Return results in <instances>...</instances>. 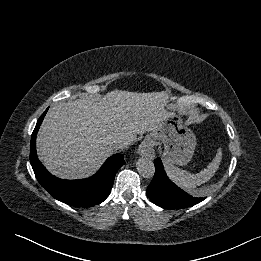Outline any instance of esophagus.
I'll list each match as a JSON object with an SVG mask.
<instances>
[{
    "instance_id": "obj_1",
    "label": "esophagus",
    "mask_w": 261,
    "mask_h": 261,
    "mask_svg": "<svg viewBox=\"0 0 261 261\" xmlns=\"http://www.w3.org/2000/svg\"><path fill=\"white\" fill-rule=\"evenodd\" d=\"M138 153L146 158L153 159L155 155L154 142L151 139H145L138 147Z\"/></svg>"
}]
</instances>
